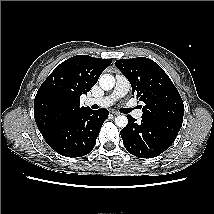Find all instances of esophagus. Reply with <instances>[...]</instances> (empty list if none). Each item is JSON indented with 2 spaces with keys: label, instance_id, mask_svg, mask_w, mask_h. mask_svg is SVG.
Returning <instances> with one entry per match:
<instances>
[{
  "label": "esophagus",
  "instance_id": "esophagus-1",
  "mask_svg": "<svg viewBox=\"0 0 214 214\" xmlns=\"http://www.w3.org/2000/svg\"><path fill=\"white\" fill-rule=\"evenodd\" d=\"M113 115H119V112H117V111H112L111 112Z\"/></svg>",
  "mask_w": 214,
  "mask_h": 214
}]
</instances>
